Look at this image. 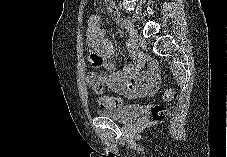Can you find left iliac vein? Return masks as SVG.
<instances>
[{"label":"left iliac vein","mask_w":227,"mask_h":157,"mask_svg":"<svg viewBox=\"0 0 227 157\" xmlns=\"http://www.w3.org/2000/svg\"><path fill=\"white\" fill-rule=\"evenodd\" d=\"M128 24V30L131 36V39L133 41V43L140 48H145L146 47V42L144 41L143 38H141L138 33L136 32V30L132 27L130 22H127Z\"/></svg>","instance_id":"1"}]
</instances>
